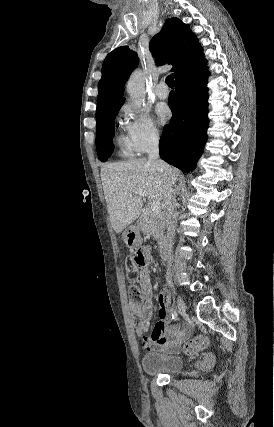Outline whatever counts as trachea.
<instances>
[{
    "label": "trachea",
    "instance_id": "trachea-1",
    "mask_svg": "<svg viewBox=\"0 0 274 427\" xmlns=\"http://www.w3.org/2000/svg\"><path fill=\"white\" fill-rule=\"evenodd\" d=\"M173 80H174L173 74L169 75V76L166 78V84H167L170 88H174Z\"/></svg>",
    "mask_w": 274,
    "mask_h": 427
}]
</instances>
